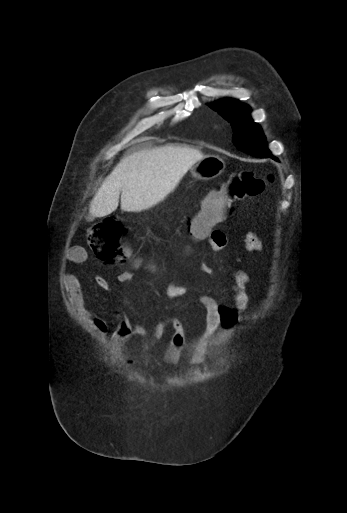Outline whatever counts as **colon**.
<instances>
[{
  "label": "colon",
  "mask_w": 347,
  "mask_h": 513,
  "mask_svg": "<svg viewBox=\"0 0 347 513\" xmlns=\"http://www.w3.org/2000/svg\"><path fill=\"white\" fill-rule=\"evenodd\" d=\"M270 180L271 177L259 178L249 170L232 174L220 188L203 198L198 215L189 221V235L195 239L206 236L232 214L236 202L260 195ZM125 236L122 223L111 217L94 224L87 232L91 248L106 263L126 261Z\"/></svg>",
  "instance_id": "1"
}]
</instances>
